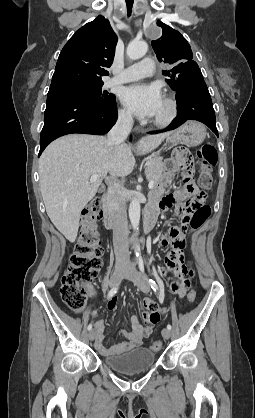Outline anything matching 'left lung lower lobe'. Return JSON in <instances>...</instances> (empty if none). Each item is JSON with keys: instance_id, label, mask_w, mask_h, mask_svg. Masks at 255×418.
I'll return each instance as SVG.
<instances>
[{"instance_id": "obj_1", "label": "left lung lower lobe", "mask_w": 255, "mask_h": 418, "mask_svg": "<svg viewBox=\"0 0 255 418\" xmlns=\"http://www.w3.org/2000/svg\"><path fill=\"white\" fill-rule=\"evenodd\" d=\"M176 100L177 117L167 128L150 134L173 130L187 120H197L207 125L218 136L212 100L203 79L181 88L176 94Z\"/></svg>"}]
</instances>
